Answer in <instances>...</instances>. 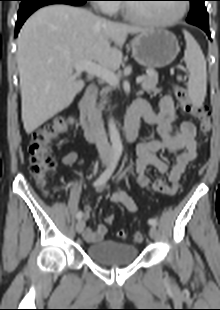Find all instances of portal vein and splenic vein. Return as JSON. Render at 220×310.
I'll list each match as a JSON object with an SVG mask.
<instances>
[{"instance_id": "1", "label": "portal vein and splenic vein", "mask_w": 220, "mask_h": 310, "mask_svg": "<svg viewBox=\"0 0 220 310\" xmlns=\"http://www.w3.org/2000/svg\"><path fill=\"white\" fill-rule=\"evenodd\" d=\"M77 73L83 71L87 72L89 75L99 77L105 80L109 85L116 86L118 84V79L113 71L104 68L100 65H97L90 61H80L77 62L74 66ZM143 81V77L139 76L136 79V83L140 84Z\"/></svg>"}]
</instances>
